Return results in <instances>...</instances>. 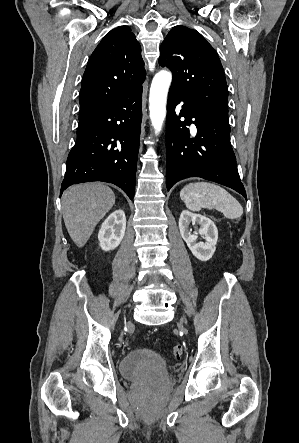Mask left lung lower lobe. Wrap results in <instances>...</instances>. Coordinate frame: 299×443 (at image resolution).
<instances>
[{
    "label": "left lung lower lobe",
    "instance_id": "1",
    "mask_svg": "<svg viewBox=\"0 0 299 443\" xmlns=\"http://www.w3.org/2000/svg\"><path fill=\"white\" fill-rule=\"evenodd\" d=\"M183 102L181 109L177 105ZM192 119H195L192 121ZM194 123L197 134L186 127ZM166 185L201 177L230 187L246 198L230 143L227 120L170 88L166 119Z\"/></svg>",
    "mask_w": 299,
    "mask_h": 443
}]
</instances>
